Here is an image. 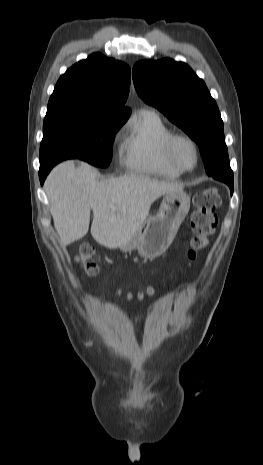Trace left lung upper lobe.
<instances>
[{"mask_svg":"<svg viewBox=\"0 0 263 465\" xmlns=\"http://www.w3.org/2000/svg\"><path fill=\"white\" fill-rule=\"evenodd\" d=\"M132 74L138 95L182 128L199 145L202 157L219 162L212 176L232 190L223 121L204 81L187 64L169 58L137 62Z\"/></svg>","mask_w":263,"mask_h":465,"instance_id":"1","label":"left lung upper lobe"}]
</instances>
